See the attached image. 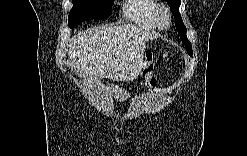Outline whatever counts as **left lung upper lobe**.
<instances>
[{"label":"left lung upper lobe","mask_w":247,"mask_h":156,"mask_svg":"<svg viewBox=\"0 0 247 156\" xmlns=\"http://www.w3.org/2000/svg\"><path fill=\"white\" fill-rule=\"evenodd\" d=\"M170 10L172 11L175 21H176V27L178 29V32L180 34V38L185 45V48L187 50V53L191 56L192 55V46L189 42L187 36H186V27L182 21L181 14L179 13V6L181 4L180 0H166Z\"/></svg>","instance_id":"1"}]
</instances>
